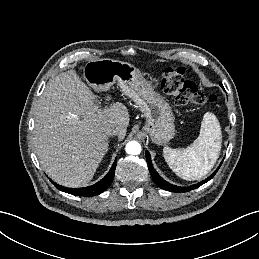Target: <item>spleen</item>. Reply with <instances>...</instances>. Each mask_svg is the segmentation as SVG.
I'll return each instance as SVG.
<instances>
[{"instance_id": "3e777b00", "label": "spleen", "mask_w": 259, "mask_h": 259, "mask_svg": "<svg viewBox=\"0 0 259 259\" xmlns=\"http://www.w3.org/2000/svg\"><path fill=\"white\" fill-rule=\"evenodd\" d=\"M222 143L221 127L216 116L207 112L201 122L200 134L186 149L164 147L168 166L182 179L191 181L204 177L216 163Z\"/></svg>"}]
</instances>
